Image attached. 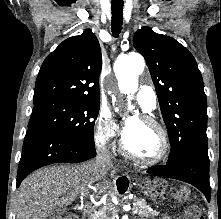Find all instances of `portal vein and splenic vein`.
<instances>
[{"mask_svg":"<svg viewBox=\"0 0 221 219\" xmlns=\"http://www.w3.org/2000/svg\"><path fill=\"white\" fill-rule=\"evenodd\" d=\"M132 212H133V214H134V213H136V210H135V211L132 210Z\"/></svg>","mask_w":221,"mask_h":219,"instance_id":"portal-vein-and-splenic-vein-1","label":"portal vein and splenic vein"}]
</instances>
